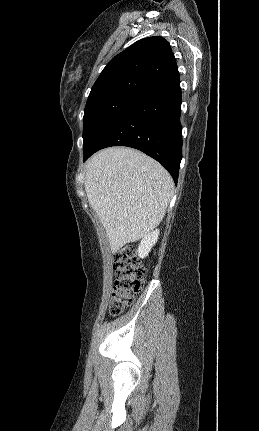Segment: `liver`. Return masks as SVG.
Returning a JSON list of instances; mask_svg holds the SVG:
<instances>
[{"instance_id":"obj_1","label":"liver","mask_w":259,"mask_h":431,"mask_svg":"<svg viewBox=\"0 0 259 431\" xmlns=\"http://www.w3.org/2000/svg\"><path fill=\"white\" fill-rule=\"evenodd\" d=\"M84 185L112 253L159 225L174 189L166 169L128 147H111L94 154L86 165Z\"/></svg>"}]
</instances>
